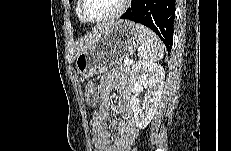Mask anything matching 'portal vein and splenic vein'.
<instances>
[{
  "label": "portal vein and splenic vein",
  "mask_w": 231,
  "mask_h": 151,
  "mask_svg": "<svg viewBox=\"0 0 231 151\" xmlns=\"http://www.w3.org/2000/svg\"><path fill=\"white\" fill-rule=\"evenodd\" d=\"M124 62H125V63H132V60H131L130 58L127 57V58L124 59Z\"/></svg>",
  "instance_id": "1"
}]
</instances>
